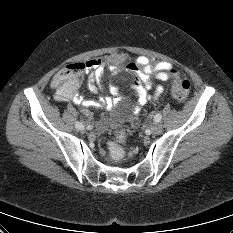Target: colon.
Returning a JSON list of instances; mask_svg holds the SVG:
<instances>
[{"instance_id":"colon-1","label":"colon","mask_w":233,"mask_h":233,"mask_svg":"<svg viewBox=\"0 0 233 233\" xmlns=\"http://www.w3.org/2000/svg\"><path fill=\"white\" fill-rule=\"evenodd\" d=\"M85 70V63L70 64L59 70L54 78L60 91L64 94L76 92L80 86ZM169 73L174 77L172 95L178 100L185 99L190 92L191 82L186 78L180 77L173 68ZM125 140L126 132L123 128H120L116 131L115 138L108 142L110 156L115 163H120L124 160L125 152L122 143H124Z\"/></svg>"}]
</instances>
